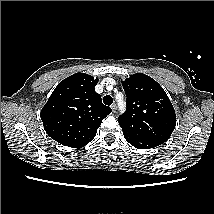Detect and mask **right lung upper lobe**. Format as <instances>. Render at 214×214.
<instances>
[{
  "label": "right lung upper lobe",
  "mask_w": 214,
  "mask_h": 214,
  "mask_svg": "<svg viewBox=\"0 0 214 214\" xmlns=\"http://www.w3.org/2000/svg\"><path fill=\"white\" fill-rule=\"evenodd\" d=\"M98 79L76 73L60 82L41 110L46 133L58 143L81 148L97 133L112 111L95 92Z\"/></svg>",
  "instance_id": "1"
}]
</instances>
